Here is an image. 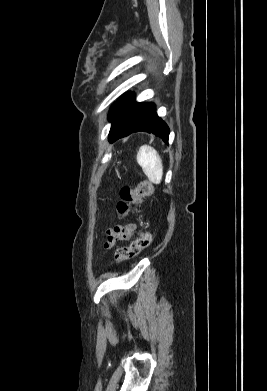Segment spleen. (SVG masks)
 <instances>
[{"mask_svg":"<svg viewBox=\"0 0 267 391\" xmlns=\"http://www.w3.org/2000/svg\"><path fill=\"white\" fill-rule=\"evenodd\" d=\"M136 160L151 182L161 183L163 164L158 152L153 147L142 145L137 153Z\"/></svg>","mask_w":267,"mask_h":391,"instance_id":"3e777b00","label":"spleen"}]
</instances>
